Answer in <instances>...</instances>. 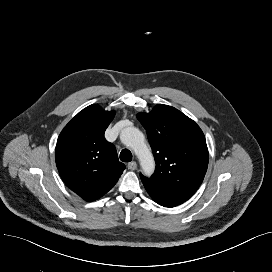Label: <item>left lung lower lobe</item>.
Listing matches in <instances>:
<instances>
[{"instance_id": "0a47b994", "label": "left lung lower lobe", "mask_w": 272, "mask_h": 272, "mask_svg": "<svg viewBox=\"0 0 272 272\" xmlns=\"http://www.w3.org/2000/svg\"><path fill=\"white\" fill-rule=\"evenodd\" d=\"M143 184L152 199L164 207H175L191 197V195L179 190L159 187L145 181Z\"/></svg>"}]
</instances>
